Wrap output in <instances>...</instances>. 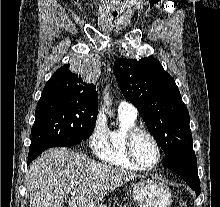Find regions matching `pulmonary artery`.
<instances>
[{
    "instance_id": "pulmonary-artery-1",
    "label": "pulmonary artery",
    "mask_w": 220,
    "mask_h": 207,
    "mask_svg": "<svg viewBox=\"0 0 220 207\" xmlns=\"http://www.w3.org/2000/svg\"><path fill=\"white\" fill-rule=\"evenodd\" d=\"M118 112L123 114H128L133 117H137V113H138L136 107L128 101H121L119 103Z\"/></svg>"
}]
</instances>
